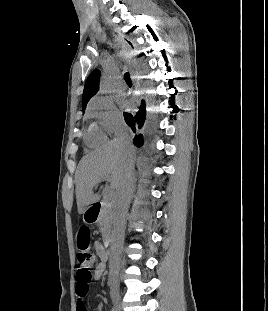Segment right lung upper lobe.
<instances>
[{"label": "right lung upper lobe", "mask_w": 268, "mask_h": 311, "mask_svg": "<svg viewBox=\"0 0 268 311\" xmlns=\"http://www.w3.org/2000/svg\"><path fill=\"white\" fill-rule=\"evenodd\" d=\"M129 44H131L129 42ZM99 80H100V71L95 70L93 71L87 78L85 86H84V92H83V100H82V109L83 111L86 108V104L92 98L97 91L99 90Z\"/></svg>", "instance_id": "obj_1"}]
</instances>
